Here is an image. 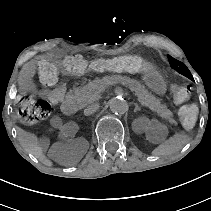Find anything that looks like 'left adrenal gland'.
<instances>
[{
	"label": "left adrenal gland",
	"instance_id": "1",
	"mask_svg": "<svg viewBox=\"0 0 211 211\" xmlns=\"http://www.w3.org/2000/svg\"><path fill=\"white\" fill-rule=\"evenodd\" d=\"M134 105H135L134 112L141 110V108L139 107V105L137 103H134Z\"/></svg>",
	"mask_w": 211,
	"mask_h": 211
}]
</instances>
